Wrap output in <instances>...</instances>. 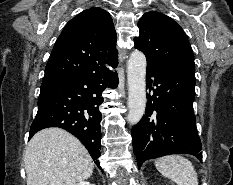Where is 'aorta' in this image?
Instances as JSON below:
<instances>
[{
    "instance_id": "762f6f07",
    "label": "aorta",
    "mask_w": 233,
    "mask_h": 185,
    "mask_svg": "<svg viewBox=\"0 0 233 185\" xmlns=\"http://www.w3.org/2000/svg\"><path fill=\"white\" fill-rule=\"evenodd\" d=\"M146 57L143 52L135 50L131 53L127 64L128 108L127 121L137 124L146 107Z\"/></svg>"
}]
</instances>
